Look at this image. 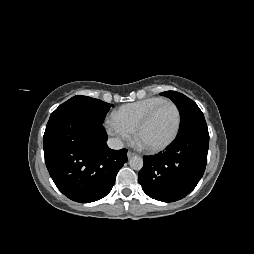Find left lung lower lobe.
Segmentation results:
<instances>
[{"label": "left lung lower lobe", "instance_id": "obj_1", "mask_svg": "<svg viewBox=\"0 0 254 254\" xmlns=\"http://www.w3.org/2000/svg\"><path fill=\"white\" fill-rule=\"evenodd\" d=\"M208 145V130H193L178 135L166 151L143 157L144 166L138 173L143 191L163 202L184 198L203 176Z\"/></svg>", "mask_w": 254, "mask_h": 254}]
</instances>
